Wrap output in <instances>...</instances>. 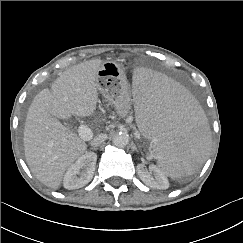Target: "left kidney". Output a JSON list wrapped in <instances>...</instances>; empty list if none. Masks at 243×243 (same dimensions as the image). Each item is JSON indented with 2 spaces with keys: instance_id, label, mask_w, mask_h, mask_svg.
<instances>
[{
  "instance_id": "5707ae66",
  "label": "left kidney",
  "mask_w": 243,
  "mask_h": 243,
  "mask_svg": "<svg viewBox=\"0 0 243 243\" xmlns=\"http://www.w3.org/2000/svg\"><path fill=\"white\" fill-rule=\"evenodd\" d=\"M151 170L154 172L155 178L148 173L144 164L137 165L138 175L146 185L157 189L168 188L169 182L166 176L155 166H152Z\"/></svg>"
}]
</instances>
